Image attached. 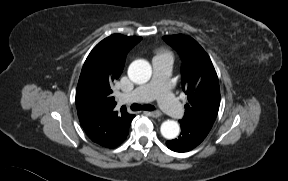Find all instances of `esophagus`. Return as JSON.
<instances>
[{
	"label": "esophagus",
	"instance_id": "1",
	"mask_svg": "<svg viewBox=\"0 0 288 181\" xmlns=\"http://www.w3.org/2000/svg\"><path fill=\"white\" fill-rule=\"evenodd\" d=\"M146 113L154 118H158L161 116V113L159 111H152V112H146Z\"/></svg>",
	"mask_w": 288,
	"mask_h": 181
}]
</instances>
